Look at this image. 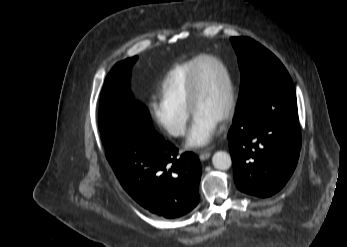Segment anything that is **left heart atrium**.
Returning <instances> with one entry per match:
<instances>
[{
    "label": "left heart atrium",
    "instance_id": "1",
    "mask_svg": "<svg viewBox=\"0 0 347 247\" xmlns=\"http://www.w3.org/2000/svg\"><path fill=\"white\" fill-rule=\"evenodd\" d=\"M218 124V120L199 114L194 115L193 123L187 137V147L196 148L208 144Z\"/></svg>",
    "mask_w": 347,
    "mask_h": 247
}]
</instances>
